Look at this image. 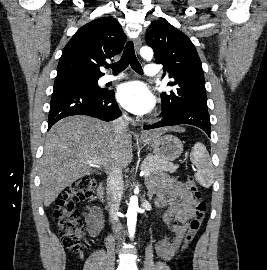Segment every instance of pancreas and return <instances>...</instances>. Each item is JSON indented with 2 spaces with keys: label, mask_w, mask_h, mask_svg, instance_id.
<instances>
[{
  "label": "pancreas",
  "mask_w": 267,
  "mask_h": 270,
  "mask_svg": "<svg viewBox=\"0 0 267 270\" xmlns=\"http://www.w3.org/2000/svg\"><path fill=\"white\" fill-rule=\"evenodd\" d=\"M141 170L149 172V175L158 172H174L177 166L162 160L157 156H147L141 163Z\"/></svg>",
  "instance_id": "pancreas-1"
}]
</instances>
